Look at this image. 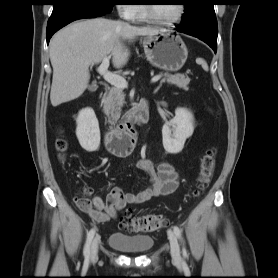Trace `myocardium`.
Returning <instances> with one entry per match:
<instances>
[{
  "label": "myocardium",
  "instance_id": "obj_1",
  "mask_svg": "<svg viewBox=\"0 0 278 278\" xmlns=\"http://www.w3.org/2000/svg\"><path fill=\"white\" fill-rule=\"evenodd\" d=\"M144 7H145V12H146V16H147L148 20L155 23V24H159V25H162V26H173V25L179 23L183 19L184 14H185V5L182 4V3L179 4L178 15L174 19L169 20V21L159 19L154 14L151 5L146 4Z\"/></svg>",
  "mask_w": 278,
  "mask_h": 278
}]
</instances>
